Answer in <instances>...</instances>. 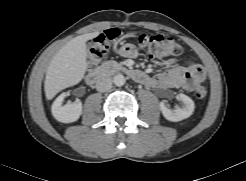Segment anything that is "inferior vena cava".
<instances>
[{"label":"inferior vena cava","instance_id":"602c4592","mask_svg":"<svg viewBox=\"0 0 246 181\" xmlns=\"http://www.w3.org/2000/svg\"><path fill=\"white\" fill-rule=\"evenodd\" d=\"M112 88V79L108 76H99L96 81V89L99 92H106Z\"/></svg>","mask_w":246,"mask_h":181}]
</instances>
